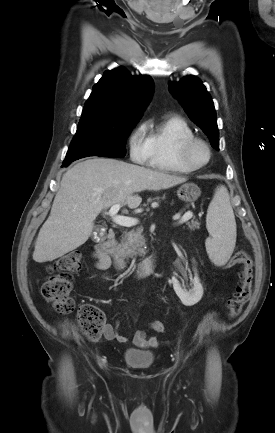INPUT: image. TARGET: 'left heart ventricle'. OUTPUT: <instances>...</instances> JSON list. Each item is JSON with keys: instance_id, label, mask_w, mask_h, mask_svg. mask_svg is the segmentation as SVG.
<instances>
[{"instance_id": "1", "label": "left heart ventricle", "mask_w": 275, "mask_h": 433, "mask_svg": "<svg viewBox=\"0 0 275 433\" xmlns=\"http://www.w3.org/2000/svg\"><path fill=\"white\" fill-rule=\"evenodd\" d=\"M193 158L197 162H204L207 159V153L204 147L196 146L193 150Z\"/></svg>"}]
</instances>
